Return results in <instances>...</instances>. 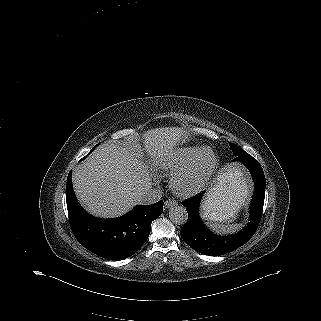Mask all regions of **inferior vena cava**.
I'll return each instance as SVG.
<instances>
[{
	"label": "inferior vena cava",
	"instance_id": "1",
	"mask_svg": "<svg viewBox=\"0 0 321 321\" xmlns=\"http://www.w3.org/2000/svg\"><path fill=\"white\" fill-rule=\"evenodd\" d=\"M162 191L157 188H150L146 190L140 197V203L144 205L154 204L161 200Z\"/></svg>",
	"mask_w": 321,
	"mask_h": 321
}]
</instances>
